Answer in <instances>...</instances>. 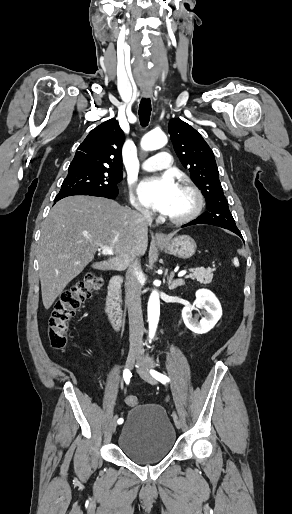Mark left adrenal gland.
Returning <instances> with one entry per match:
<instances>
[{"label": "left adrenal gland", "instance_id": "obj_1", "mask_svg": "<svg viewBox=\"0 0 292 514\" xmlns=\"http://www.w3.org/2000/svg\"><path fill=\"white\" fill-rule=\"evenodd\" d=\"M174 278V272H171L169 278H167L169 290H174V288H177V286H184L185 282L184 280H173Z\"/></svg>", "mask_w": 292, "mask_h": 514}]
</instances>
